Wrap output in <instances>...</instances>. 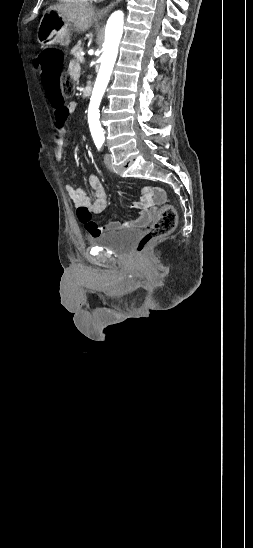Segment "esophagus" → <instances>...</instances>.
<instances>
[{
	"label": "esophagus",
	"mask_w": 253,
	"mask_h": 548,
	"mask_svg": "<svg viewBox=\"0 0 253 548\" xmlns=\"http://www.w3.org/2000/svg\"><path fill=\"white\" fill-rule=\"evenodd\" d=\"M121 0H115L113 3H111L110 5H108L107 7L103 8L101 11H100V14H104L106 13L115 3H118L120 2Z\"/></svg>",
	"instance_id": "34e87169"
}]
</instances>
